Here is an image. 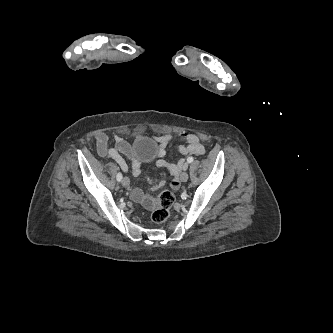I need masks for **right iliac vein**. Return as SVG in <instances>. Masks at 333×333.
<instances>
[{
	"label": "right iliac vein",
	"instance_id": "1",
	"mask_svg": "<svg viewBox=\"0 0 333 333\" xmlns=\"http://www.w3.org/2000/svg\"><path fill=\"white\" fill-rule=\"evenodd\" d=\"M121 184H122L124 187L129 186V184H130V180H129V178H128V177H124V178L122 179V181H121Z\"/></svg>",
	"mask_w": 333,
	"mask_h": 333
}]
</instances>
